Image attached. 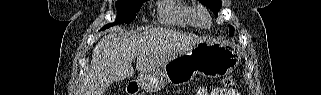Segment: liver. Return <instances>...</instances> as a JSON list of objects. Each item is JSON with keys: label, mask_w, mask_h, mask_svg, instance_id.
I'll use <instances>...</instances> for the list:
<instances>
[{"label": "liver", "mask_w": 321, "mask_h": 95, "mask_svg": "<svg viewBox=\"0 0 321 95\" xmlns=\"http://www.w3.org/2000/svg\"><path fill=\"white\" fill-rule=\"evenodd\" d=\"M115 29L95 46L89 71L78 95H102L112 82L134 75L136 69L153 72L174 57L190 51L204 39L163 28H151L138 34L117 33Z\"/></svg>", "instance_id": "1"}]
</instances>
